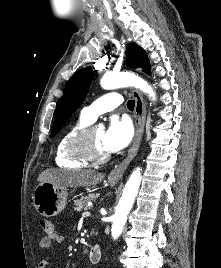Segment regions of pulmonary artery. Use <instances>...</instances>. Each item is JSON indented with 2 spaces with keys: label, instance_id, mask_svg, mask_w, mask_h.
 <instances>
[{
  "label": "pulmonary artery",
  "instance_id": "1",
  "mask_svg": "<svg viewBox=\"0 0 221 268\" xmlns=\"http://www.w3.org/2000/svg\"><path fill=\"white\" fill-rule=\"evenodd\" d=\"M122 101L123 98L118 93L113 92L105 94L94 101L90 106L83 108L81 116L90 122H94L100 114L115 109L122 103Z\"/></svg>",
  "mask_w": 221,
  "mask_h": 268
}]
</instances>
